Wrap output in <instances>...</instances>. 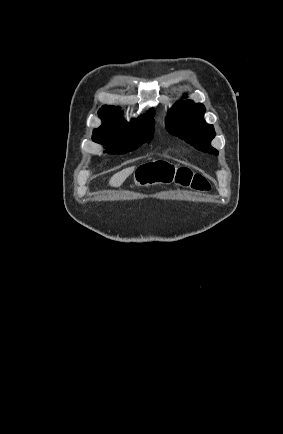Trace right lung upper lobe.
Here are the masks:
<instances>
[{"instance_id": "1", "label": "right lung upper lobe", "mask_w": 283, "mask_h": 434, "mask_svg": "<svg viewBox=\"0 0 283 434\" xmlns=\"http://www.w3.org/2000/svg\"><path fill=\"white\" fill-rule=\"evenodd\" d=\"M99 117L102 119L103 124L100 128L95 130H114V129H130L139 125L155 123L153 116L154 110L150 109L148 114L140 116L138 120H133L128 123L121 117V111L118 107L103 106L98 112Z\"/></svg>"}]
</instances>
